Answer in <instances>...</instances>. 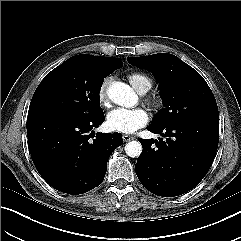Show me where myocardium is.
<instances>
[{
    "label": "myocardium",
    "instance_id": "1",
    "mask_svg": "<svg viewBox=\"0 0 241 241\" xmlns=\"http://www.w3.org/2000/svg\"><path fill=\"white\" fill-rule=\"evenodd\" d=\"M147 101H148V104L150 106H152L153 108H155V109H157V108H159L161 106V100L158 97H155V96L154 97H149L147 99Z\"/></svg>",
    "mask_w": 241,
    "mask_h": 241
}]
</instances>
